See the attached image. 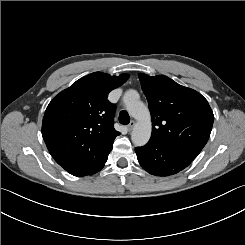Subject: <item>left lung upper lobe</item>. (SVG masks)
Segmentation results:
<instances>
[{
	"instance_id": "5c2ea615",
	"label": "left lung upper lobe",
	"mask_w": 245,
	"mask_h": 245,
	"mask_svg": "<svg viewBox=\"0 0 245 245\" xmlns=\"http://www.w3.org/2000/svg\"><path fill=\"white\" fill-rule=\"evenodd\" d=\"M152 119L150 140L195 159L206 145L214 121L207 100L164 75L139 74Z\"/></svg>"
}]
</instances>
